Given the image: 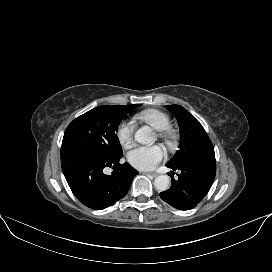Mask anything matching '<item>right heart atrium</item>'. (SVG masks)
Returning a JSON list of instances; mask_svg holds the SVG:
<instances>
[{
    "instance_id": "obj_1",
    "label": "right heart atrium",
    "mask_w": 272,
    "mask_h": 272,
    "mask_svg": "<svg viewBox=\"0 0 272 272\" xmlns=\"http://www.w3.org/2000/svg\"><path fill=\"white\" fill-rule=\"evenodd\" d=\"M117 138L123 147H129L133 141L134 124L130 120H123L117 127Z\"/></svg>"
}]
</instances>
